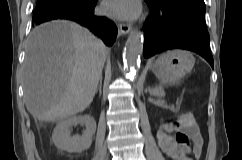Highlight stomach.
I'll list each match as a JSON object with an SVG mask.
<instances>
[{
	"label": "stomach",
	"instance_id": "0dacf381",
	"mask_svg": "<svg viewBox=\"0 0 242 160\" xmlns=\"http://www.w3.org/2000/svg\"><path fill=\"white\" fill-rule=\"evenodd\" d=\"M195 59L189 51L176 50L161 55L152 65V71L163 83H172L190 72Z\"/></svg>",
	"mask_w": 242,
	"mask_h": 160
}]
</instances>
